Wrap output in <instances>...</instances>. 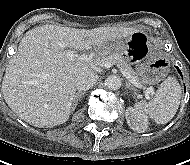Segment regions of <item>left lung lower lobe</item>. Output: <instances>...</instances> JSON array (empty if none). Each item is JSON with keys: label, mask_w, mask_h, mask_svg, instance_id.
<instances>
[{"label": "left lung lower lobe", "mask_w": 190, "mask_h": 165, "mask_svg": "<svg viewBox=\"0 0 190 165\" xmlns=\"http://www.w3.org/2000/svg\"><path fill=\"white\" fill-rule=\"evenodd\" d=\"M177 70H178V72L180 73V75L182 76V73H181V71L177 68Z\"/></svg>", "instance_id": "0a47b994"}]
</instances>
